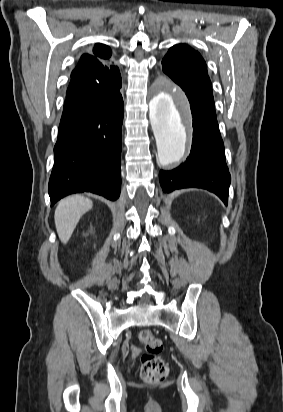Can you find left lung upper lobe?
Listing matches in <instances>:
<instances>
[{"label": "left lung upper lobe", "mask_w": 283, "mask_h": 412, "mask_svg": "<svg viewBox=\"0 0 283 412\" xmlns=\"http://www.w3.org/2000/svg\"><path fill=\"white\" fill-rule=\"evenodd\" d=\"M163 71L173 81L183 78L198 88L212 93L206 63L201 55L185 44L170 48L162 60Z\"/></svg>", "instance_id": "5c2ea615"}]
</instances>
